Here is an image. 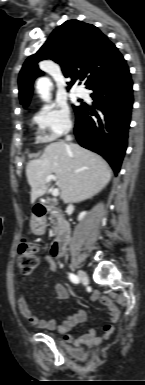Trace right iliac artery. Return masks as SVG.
I'll list each match as a JSON object with an SVG mask.
<instances>
[{
    "mask_svg": "<svg viewBox=\"0 0 145 385\" xmlns=\"http://www.w3.org/2000/svg\"><path fill=\"white\" fill-rule=\"evenodd\" d=\"M69 279L71 280V282H73L75 284L79 283V278L75 274L70 273L69 274Z\"/></svg>",
    "mask_w": 145,
    "mask_h": 385,
    "instance_id": "right-iliac-artery-1",
    "label": "right iliac artery"
}]
</instances>
